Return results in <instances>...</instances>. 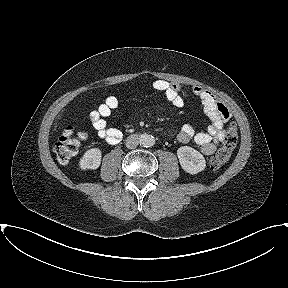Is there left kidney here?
Returning <instances> with one entry per match:
<instances>
[{"instance_id":"obj_1","label":"left kidney","mask_w":288,"mask_h":288,"mask_svg":"<svg viewBox=\"0 0 288 288\" xmlns=\"http://www.w3.org/2000/svg\"><path fill=\"white\" fill-rule=\"evenodd\" d=\"M179 162L184 171L189 174H197L206 168L203 155L189 146H182L177 150Z\"/></svg>"}]
</instances>
